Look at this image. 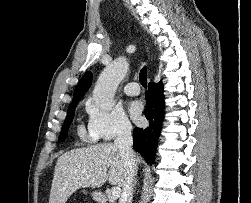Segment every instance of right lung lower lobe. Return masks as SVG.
<instances>
[{"mask_svg": "<svg viewBox=\"0 0 251 203\" xmlns=\"http://www.w3.org/2000/svg\"><path fill=\"white\" fill-rule=\"evenodd\" d=\"M146 100L144 114L149 120V126L144 129L136 127L133 130V147L151 165L155 161L156 147L164 119L162 82L149 83Z\"/></svg>", "mask_w": 251, "mask_h": 203, "instance_id": "1", "label": "right lung lower lobe"}]
</instances>
